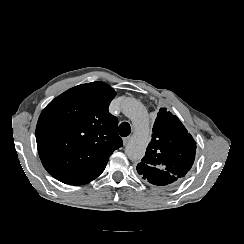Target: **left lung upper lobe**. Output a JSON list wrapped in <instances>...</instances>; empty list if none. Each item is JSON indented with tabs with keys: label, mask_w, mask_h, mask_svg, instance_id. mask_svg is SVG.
<instances>
[{
	"label": "left lung upper lobe",
	"mask_w": 244,
	"mask_h": 244,
	"mask_svg": "<svg viewBox=\"0 0 244 244\" xmlns=\"http://www.w3.org/2000/svg\"><path fill=\"white\" fill-rule=\"evenodd\" d=\"M195 154L196 142L191 134L176 116L161 108L153 126L151 142L137 165V171L153 183L167 185L187 174Z\"/></svg>",
	"instance_id": "left-lung-upper-lobe-1"
}]
</instances>
